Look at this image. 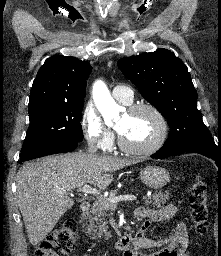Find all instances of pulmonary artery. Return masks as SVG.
<instances>
[{
	"instance_id": "pulmonary-artery-1",
	"label": "pulmonary artery",
	"mask_w": 221,
	"mask_h": 256,
	"mask_svg": "<svg viewBox=\"0 0 221 256\" xmlns=\"http://www.w3.org/2000/svg\"><path fill=\"white\" fill-rule=\"evenodd\" d=\"M112 94L115 99L124 104H130L133 101V91L126 85L115 86L112 90Z\"/></svg>"
}]
</instances>
